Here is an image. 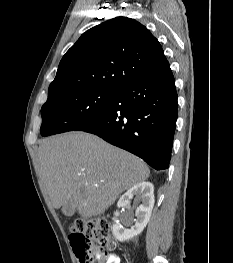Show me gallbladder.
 Segmentation results:
<instances>
[{
    "label": "gallbladder",
    "instance_id": "1",
    "mask_svg": "<svg viewBox=\"0 0 233 263\" xmlns=\"http://www.w3.org/2000/svg\"><path fill=\"white\" fill-rule=\"evenodd\" d=\"M75 211L76 209L74 208L71 202H68V204L62 208L63 214L67 217L73 216Z\"/></svg>",
    "mask_w": 233,
    "mask_h": 263
}]
</instances>
